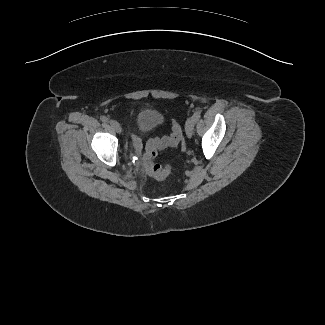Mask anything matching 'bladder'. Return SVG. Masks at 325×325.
<instances>
[{"instance_id":"1","label":"bladder","mask_w":325,"mask_h":325,"mask_svg":"<svg viewBox=\"0 0 325 325\" xmlns=\"http://www.w3.org/2000/svg\"><path fill=\"white\" fill-rule=\"evenodd\" d=\"M163 121V115L154 108H142L135 115L136 127L146 133L156 128Z\"/></svg>"}]
</instances>
